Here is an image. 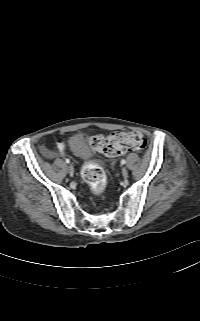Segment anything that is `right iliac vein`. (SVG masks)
I'll use <instances>...</instances> for the list:
<instances>
[{
    "label": "right iliac vein",
    "mask_w": 200,
    "mask_h": 321,
    "mask_svg": "<svg viewBox=\"0 0 200 321\" xmlns=\"http://www.w3.org/2000/svg\"><path fill=\"white\" fill-rule=\"evenodd\" d=\"M68 172L70 175L74 174V167L71 164L68 166Z\"/></svg>",
    "instance_id": "right-iliac-vein-1"
}]
</instances>
